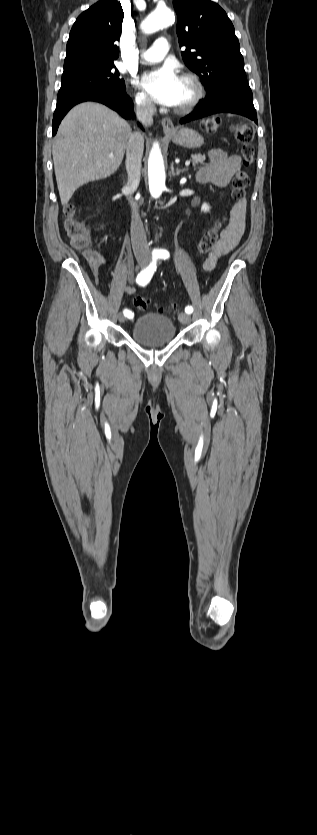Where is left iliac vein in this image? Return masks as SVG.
<instances>
[{
  "label": "left iliac vein",
  "instance_id": "left-iliac-vein-1",
  "mask_svg": "<svg viewBox=\"0 0 317 835\" xmlns=\"http://www.w3.org/2000/svg\"><path fill=\"white\" fill-rule=\"evenodd\" d=\"M178 318H179V321H180L182 324H185V325H186V324H189V323H190V321H191V317H190V315H189L188 313H185V312H184V313H183V312H182V313H180V314H179V316H178Z\"/></svg>",
  "mask_w": 317,
  "mask_h": 835
}]
</instances>
